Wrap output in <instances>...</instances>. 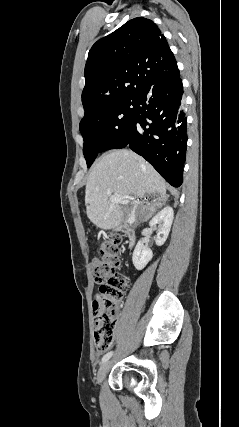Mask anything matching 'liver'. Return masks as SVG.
<instances>
[{
    "instance_id": "6515ba94",
    "label": "liver",
    "mask_w": 239,
    "mask_h": 427,
    "mask_svg": "<svg viewBox=\"0 0 239 427\" xmlns=\"http://www.w3.org/2000/svg\"><path fill=\"white\" fill-rule=\"evenodd\" d=\"M155 195L149 205L148 217L165 201L166 184L160 174L143 158L131 150H114L103 154L92 166L85 190L87 216L97 227L109 230L118 227L136 208H129V200L113 203L110 195L143 198Z\"/></svg>"
}]
</instances>
